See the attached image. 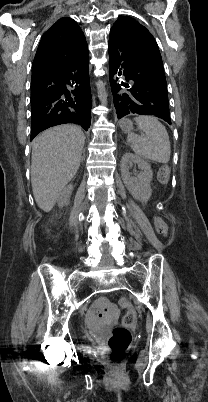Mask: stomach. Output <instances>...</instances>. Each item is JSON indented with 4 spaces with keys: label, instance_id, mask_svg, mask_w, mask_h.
Masks as SVG:
<instances>
[{
    "label": "stomach",
    "instance_id": "1",
    "mask_svg": "<svg viewBox=\"0 0 208 402\" xmlns=\"http://www.w3.org/2000/svg\"><path fill=\"white\" fill-rule=\"evenodd\" d=\"M120 128L122 132H125V134H130V132L134 130L132 122H130V120H126V118H124V120H120Z\"/></svg>",
    "mask_w": 208,
    "mask_h": 402
}]
</instances>
